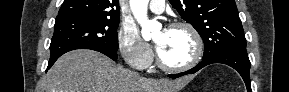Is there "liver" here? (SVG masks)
Returning a JSON list of instances; mask_svg holds the SVG:
<instances>
[{
  "instance_id": "obj_1",
  "label": "liver",
  "mask_w": 289,
  "mask_h": 92,
  "mask_svg": "<svg viewBox=\"0 0 289 92\" xmlns=\"http://www.w3.org/2000/svg\"><path fill=\"white\" fill-rule=\"evenodd\" d=\"M186 83L146 79L105 55L77 49L62 55L43 79V92H175Z\"/></svg>"
}]
</instances>
